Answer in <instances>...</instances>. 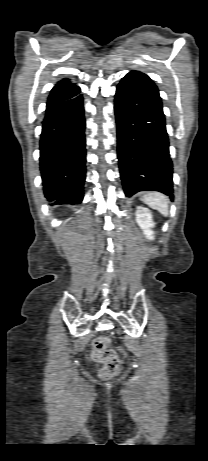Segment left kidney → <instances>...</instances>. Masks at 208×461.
<instances>
[{"label":"left kidney","mask_w":208,"mask_h":461,"mask_svg":"<svg viewBox=\"0 0 208 461\" xmlns=\"http://www.w3.org/2000/svg\"><path fill=\"white\" fill-rule=\"evenodd\" d=\"M152 212L145 207L138 206L136 210V222L143 230L144 235L147 239H154V232L152 228L155 226V223L152 220Z\"/></svg>","instance_id":"left-kidney-1"}]
</instances>
